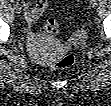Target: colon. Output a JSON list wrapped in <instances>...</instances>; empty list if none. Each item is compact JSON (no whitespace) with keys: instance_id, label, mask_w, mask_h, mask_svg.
<instances>
[{"instance_id":"5ec220e1","label":"colon","mask_w":111,"mask_h":106,"mask_svg":"<svg viewBox=\"0 0 111 106\" xmlns=\"http://www.w3.org/2000/svg\"><path fill=\"white\" fill-rule=\"evenodd\" d=\"M59 27L60 25L55 19L49 18L43 23L40 32L43 35L56 34L59 31ZM74 61L75 56L73 53L62 52L56 57L53 65L56 68H67L70 67L74 63Z\"/></svg>"}]
</instances>
